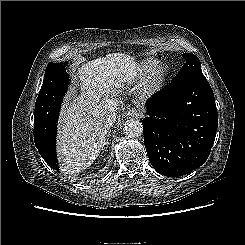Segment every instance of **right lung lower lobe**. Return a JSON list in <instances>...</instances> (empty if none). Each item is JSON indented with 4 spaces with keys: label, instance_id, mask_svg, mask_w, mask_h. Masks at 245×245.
<instances>
[{
    "label": "right lung lower lobe",
    "instance_id": "1",
    "mask_svg": "<svg viewBox=\"0 0 245 245\" xmlns=\"http://www.w3.org/2000/svg\"><path fill=\"white\" fill-rule=\"evenodd\" d=\"M57 119H42L34 117V141L39 154L51 168L59 171L56 155Z\"/></svg>",
    "mask_w": 245,
    "mask_h": 245
}]
</instances>
